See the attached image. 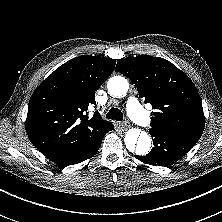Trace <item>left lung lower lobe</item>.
Wrapping results in <instances>:
<instances>
[{"label":"left lung lower lobe","instance_id":"0a47b994","mask_svg":"<svg viewBox=\"0 0 222 222\" xmlns=\"http://www.w3.org/2000/svg\"><path fill=\"white\" fill-rule=\"evenodd\" d=\"M149 133L154 148L146 156L135 155V157L143 163L164 167L182 158L200 138L193 133L166 128H152Z\"/></svg>","mask_w":222,"mask_h":222}]
</instances>
